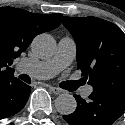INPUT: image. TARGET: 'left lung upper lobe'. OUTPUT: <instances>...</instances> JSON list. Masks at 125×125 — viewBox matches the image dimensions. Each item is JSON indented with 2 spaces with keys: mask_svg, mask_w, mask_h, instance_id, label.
Here are the masks:
<instances>
[{
  "mask_svg": "<svg viewBox=\"0 0 125 125\" xmlns=\"http://www.w3.org/2000/svg\"><path fill=\"white\" fill-rule=\"evenodd\" d=\"M63 25L77 46L83 79L97 92L125 94V34L96 17H64Z\"/></svg>",
  "mask_w": 125,
  "mask_h": 125,
  "instance_id": "left-lung-upper-lobe-1",
  "label": "left lung upper lobe"
}]
</instances>
